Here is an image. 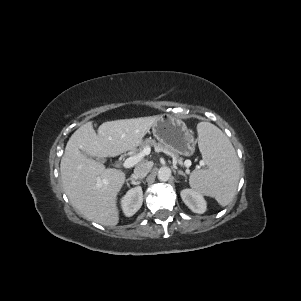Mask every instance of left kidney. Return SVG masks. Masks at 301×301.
<instances>
[{"instance_id": "1", "label": "left kidney", "mask_w": 301, "mask_h": 301, "mask_svg": "<svg viewBox=\"0 0 301 301\" xmlns=\"http://www.w3.org/2000/svg\"><path fill=\"white\" fill-rule=\"evenodd\" d=\"M180 195L183 202L194 213L202 214L206 211V201L199 192L192 189H184Z\"/></svg>"}]
</instances>
